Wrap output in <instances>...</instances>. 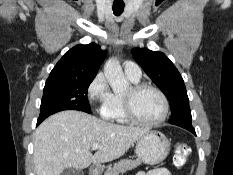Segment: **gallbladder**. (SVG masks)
Returning a JSON list of instances; mask_svg holds the SVG:
<instances>
[{
    "mask_svg": "<svg viewBox=\"0 0 233 175\" xmlns=\"http://www.w3.org/2000/svg\"><path fill=\"white\" fill-rule=\"evenodd\" d=\"M61 175H83V171L76 168H66L62 171Z\"/></svg>",
    "mask_w": 233,
    "mask_h": 175,
    "instance_id": "1",
    "label": "gallbladder"
}]
</instances>
